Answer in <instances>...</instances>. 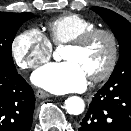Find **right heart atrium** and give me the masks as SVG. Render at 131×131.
I'll return each mask as SVG.
<instances>
[{
    "label": "right heart atrium",
    "mask_w": 131,
    "mask_h": 131,
    "mask_svg": "<svg viewBox=\"0 0 131 131\" xmlns=\"http://www.w3.org/2000/svg\"><path fill=\"white\" fill-rule=\"evenodd\" d=\"M52 44L37 28L18 34L11 43L15 63L23 70H30L48 61L52 55Z\"/></svg>",
    "instance_id": "1"
}]
</instances>
